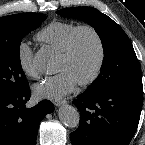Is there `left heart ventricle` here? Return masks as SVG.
I'll return each instance as SVG.
<instances>
[{
    "label": "left heart ventricle",
    "mask_w": 145,
    "mask_h": 145,
    "mask_svg": "<svg viewBox=\"0 0 145 145\" xmlns=\"http://www.w3.org/2000/svg\"><path fill=\"white\" fill-rule=\"evenodd\" d=\"M98 59V49L94 37L89 32H82L77 40L71 58H59L58 71H69L78 82L86 79L93 72Z\"/></svg>",
    "instance_id": "1"
}]
</instances>
